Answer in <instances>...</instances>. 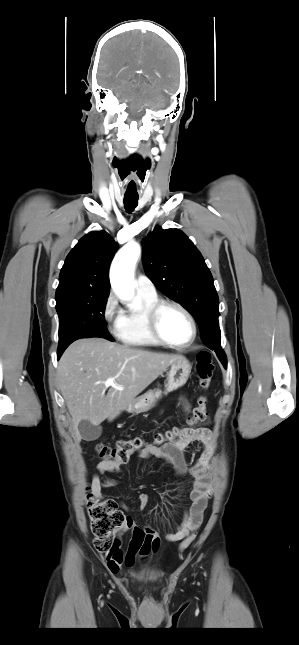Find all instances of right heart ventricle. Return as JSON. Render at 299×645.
Instances as JSON below:
<instances>
[{
	"label": "right heart ventricle",
	"mask_w": 299,
	"mask_h": 645,
	"mask_svg": "<svg viewBox=\"0 0 299 645\" xmlns=\"http://www.w3.org/2000/svg\"><path fill=\"white\" fill-rule=\"evenodd\" d=\"M157 294L149 295L137 291L138 305L121 313L118 339L135 347L157 346L160 343L151 334L147 323L148 309L158 301Z\"/></svg>",
	"instance_id": "right-heart-ventricle-1"
}]
</instances>
